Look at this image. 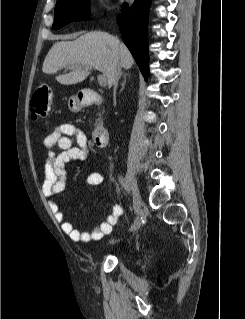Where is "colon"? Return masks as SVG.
<instances>
[{
	"label": "colon",
	"mask_w": 245,
	"mask_h": 319,
	"mask_svg": "<svg viewBox=\"0 0 245 319\" xmlns=\"http://www.w3.org/2000/svg\"><path fill=\"white\" fill-rule=\"evenodd\" d=\"M52 101V93L47 85L39 86L31 98V114L35 120L48 116Z\"/></svg>",
	"instance_id": "5ec220e1"
}]
</instances>
